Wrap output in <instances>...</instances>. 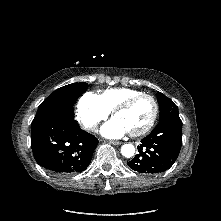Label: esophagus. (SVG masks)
Segmentation results:
<instances>
[{"mask_svg": "<svg viewBox=\"0 0 221 221\" xmlns=\"http://www.w3.org/2000/svg\"><path fill=\"white\" fill-rule=\"evenodd\" d=\"M112 145H121L122 143L119 141H108Z\"/></svg>", "mask_w": 221, "mask_h": 221, "instance_id": "esophagus-1", "label": "esophagus"}]
</instances>
